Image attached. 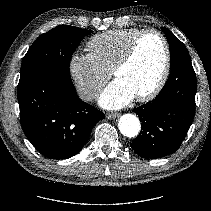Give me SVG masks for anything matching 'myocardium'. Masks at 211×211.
<instances>
[{"instance_id": "1", "label": "myocardium", "mask_w": 211, "mask_h": 211, "mask_svg": "<svg viewBox=\"0 0 211 211\" xmlns=\"http://www.w3.org/2000/svg\"><path fill=\"white\" fill-rule=\"evenodd\" d=\"M148 34L156 35L162 42L164 48V64L161 71V74L156 82V84L150 89L148 92L136 96V100L139 102H147L154 99L163 89L164 85L170 74V65H171V52L170 46L166 39V37L157 29L149 28L141 30L130 42L128 48L126 49L125 53L122 57L117 61L114 67L111 70L112 77H116V75L123 70L134 58L138 44L141 39Z\"/></svg>"}]
</instances>
